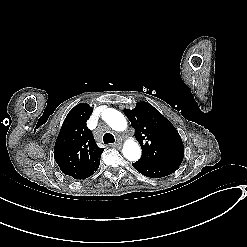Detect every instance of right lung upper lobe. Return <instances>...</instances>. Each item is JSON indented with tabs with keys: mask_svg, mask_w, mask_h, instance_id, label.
<instances>
[{
	"mask_svg": "<svg viewBox=\"0 0 247 247\" xmlns=\"http://www.w3.org/2000/svg\"><path fill=\"white\" fill-rule=\"evenodd\" d=\"M92 108L81 103L66 116L54 147V158L61 171L75 179H86L100 164L104 148H99L86 122Z\"/></svg>",
	"mask_w": 247,
	"mask_h": 247,
	"instance_id": "right-lung-upper-lobe-1",
	"label": "right lung upper lobe"
}]
</instances>
